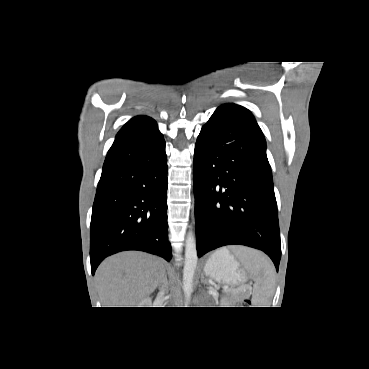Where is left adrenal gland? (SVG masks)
<instances>
[{
	"mask_svg": "<svg viewBox=\"0 0 369 369\" xmlns=\"http://www.w3.org/2000/svg\"><path fill=\"white\" fill-rule=\"evenodd\" d=\"M201 283L206 284V285H208V286H209V283H208V281H207V279L205 278V276H204V274H203V273H202V275H201Z\"/></svg>",
	"mask_w": 369,
	"mask_h": 369,
	"instance_id": "1",
	"label": "left adrenal gland"
}]
</instances>
